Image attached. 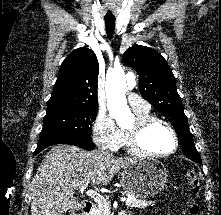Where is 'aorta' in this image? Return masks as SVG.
<instances>
[{
  "label": "aorta",
  "instance_id": "obj_1",
  "mask_svg": "<svg viewBox=\"0 0 221 215\" xmlns=\"http://www.w3.org/2000/svg\"><path fill=\"white\" fill-rule=\"evenodd\" d=\"M135 86V79L132 77L126 82L123 70L111 72L106 78V96L107 107L110 116L117 121L119 125L130 124L134 120L125 97L128 89Z\"/></svg>",
  "mask_w": 221,
  "mask_h": 215
}]
</instances>
